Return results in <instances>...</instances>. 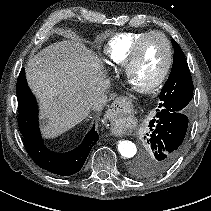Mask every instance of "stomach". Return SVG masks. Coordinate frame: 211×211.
Here are the masks:
<instances>
[{
    "mask_svg": "<svg viewBox=\"0 0 211 211\" xmlns=\"http://www.w3.org/2000/svg\"><path fill=\"white\" fill-rule=\"evenodd\" d=\"M131 111V106L128 104V103H122V104H119L118 107L115 109H113V112H117L119 114H128L130 113Z\"/></svg>",
    "mask_w": 211,
    "mask_h": 211,
    "instance_id": "obj_1",
    "label": "stomach"
}]
</instances>
